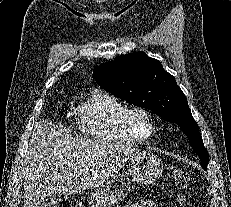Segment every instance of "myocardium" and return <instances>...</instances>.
Here are the masks:
<instances>
[{
  "mask_svg": "<svg viewBox=\"0 0 231 207\" xmlns=\"http://www.w3.org/2000/svg\"><path fill=\"white\" fill-rule=\"evenodd\" d=\"M137 114L143 115L148 120V123L150 125V131L146 136L140 134V132L137 130L135 126L134 116ZM123 122L128 133L134 139L140 142L149 141L154 136L156 131V122L154 116L148 109L142 106H132L126 108V110L123 113Z\"/></svg>",
  "mask_w": 231,
  "mask_h": 207,
  "instance_id": "myocardium-1",
  "label": "myocardium"
}]
</instances>
